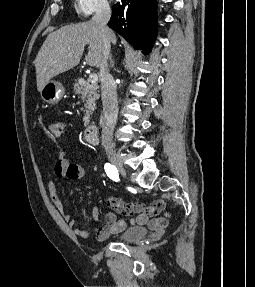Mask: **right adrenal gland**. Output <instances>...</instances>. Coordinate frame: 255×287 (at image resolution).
Here are the masks:
<instances>
[{
	"label": "right adrenal gland",
	"mask_w": 255,
	"mask_h": 287,
	"mask_svg": "<svg viewBox=\"0 0 255 287\" xmlns=\"http://www.w3.org/2000/svg\"><path fill=\"white\" fill-rule=\"evenodd\" d=\"M110 60H111V62H112V54H110Z\"/></svg>",
	"instance_id": "2a0ac1e0"
}]
</instances>
